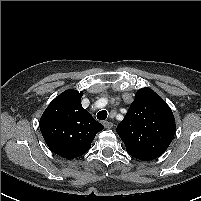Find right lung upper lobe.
I'll return each instance as SVG.
<instances>
[{"label": "right lung upper lobe", "instance_id": "1", "mask_svg": "<svg viewBox=\"0 0 201 201\" xmlns=\"http://www.w3.org/2000/svg\"><path fill=\"white\" fill-rule=\"evenodd\" d=\"M83 93L69 89L57 96L40 119L43 138L55 154L73 159L87 152L104 129L81 105Z\"/></svg>", "mask_w": 201, "mask_h": 201}]
</instances>
